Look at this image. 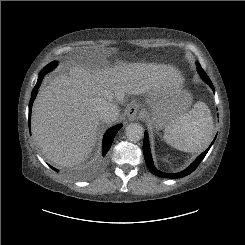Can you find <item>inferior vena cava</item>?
<instances>
[{
  "instance_id": "inferior-vena-cava-1",
  "label": "inferior vena cava",
  "mask_w": 245,
  "mask_h": 245,
  "mask_svg": "<svg viewBox=\"0 0 245 245\" xmlns=\"http://www.w3.org/2000/svg\"><path fill=\"white\" fill-rule=\"evenodd\" d=\"M97 111L100 119L106 123L115 121L119 115L117 105L103 99H100L97 103Z\"/></svg>"
}]
</instances>
